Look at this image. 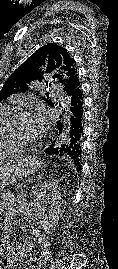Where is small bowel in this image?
I'll return each mask as SVG.
<instances>
[{
  "label": "small bowel",
  "instance_id": "1",
  "mask_svg": "<svg viewBox=\"0 0 118 269\" xmlns=\"http://www.w3.org/2000/svg\"><path fill=\"white\" fill-rule=\"evenodd\" d=\"M21 202L12 197L11 199L4 202L5 206V213H4V228H5V239L9 237V231L11 229L12 222L18 212L19 204ZM33 238L40 242H45V235H43L38 229L34 228L31 232ZM30 244L27 242L21 243L18 247H13L7 243H4L0 247V256L4 258V268L0 267V269H5L6 267H11L18 263L21 260H27L29 253H30Z\"/></svg>",
  "mask_w": 118,
  "mask_h": 269
}]
</instances>
